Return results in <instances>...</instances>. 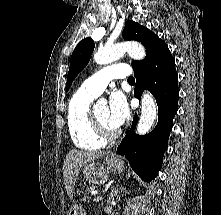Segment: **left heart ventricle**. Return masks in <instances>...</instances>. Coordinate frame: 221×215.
<instances>
[{"mask_svg":"<svg viewBox=\"0 0 221 215\" xmlns=\"http://www.w3.org/2000/svg\"><path fill=\"white\" fill-rule=\"evenodd\" d=\"M96 115L98 119L109 129H116L109 123L108 119V106L99 105L95 108Z\"/></svg>","mask_w":221,"mask_h":215,"instance_id":"left-heart-ventricle-1","label":"left heart ventricle"}]
</instances>
